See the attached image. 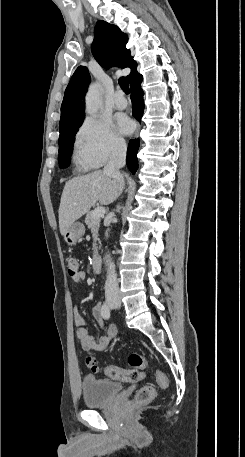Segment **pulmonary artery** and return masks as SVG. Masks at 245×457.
<instances>
[{
    "instance_id": "obj_1",
    "label": "pulmonary artery",
    "mask_w": 245,
    "mask_h": 457,
    "mask_svg": "<svg viewBox=\"0 0 245 457\" xmlns=\"http://www.w3.org/2000/svg\"><path fill=\"white\" fill-rule=\"evenodd\" d=\"M114 106L117 109H125L127 106V100L123 96L121 91H117L113 100Z\"/></svg>"
}]
</instances>
